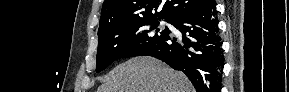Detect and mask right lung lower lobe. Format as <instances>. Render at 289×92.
I'll return each instance as SVG.
<instances>
[{"label": "right lung lower lobe", "mask_w": 289, "mask_h": 92, "mask_svg": "<svg viewBox=\"0 0 289 92\" xmlns=\"http://www.w3.org/2000/svg\"><path fill=\"white\" fill-rule=\"evenodd\" d=\"M170 23L183 34L182 38L168 35L137 56H153L184 72L197 92H219L224 56L215 1Z\"/></svg>", "instance_id": "1"}]
</instances>
